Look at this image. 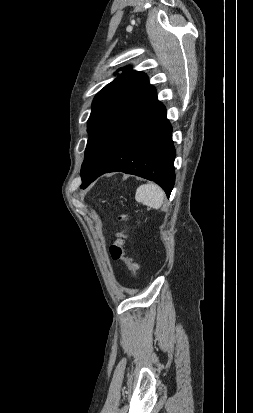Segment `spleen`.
<instances>
[{"mask_svg":"<svg viewBox=\"0 0 253 413\" xmlns=\"http://www.w3.org/2000/svg\"><path fill=\"white\" fill-rule=\"evenodd\" d=\"M164 191L154 183L143 184L136 190L135 199L150 208H161L164 201Z\"/></svg>","mask_w":253,"mask_h":413,"instance_id":"spleen-1","label":"spleen"}]
</instances>
